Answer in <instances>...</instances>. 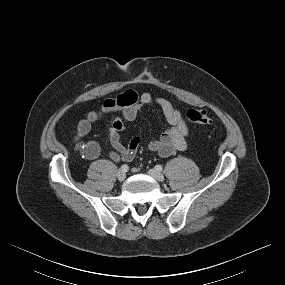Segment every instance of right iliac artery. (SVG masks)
Here are the masks:
<instances>
[{
	"label": "right iliac artery",
	"instance_id": "82829eb1",
	"mask_svg": "<svg viewBox=\"0 0 285 285\" xmlns=\"http://www.w3.org/2000/svg\"><path fill=\"white\" fill-rule=\"evenodd\" d=\"M128 169H129V166L126 165V164L122 165L121 168H120V170L123 171V172H127Z\"/></svg>",
	"mask_w": 285,
	"mask_h": 285
}]
</instances>
